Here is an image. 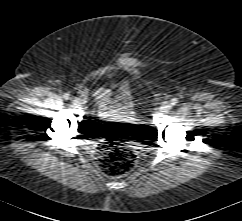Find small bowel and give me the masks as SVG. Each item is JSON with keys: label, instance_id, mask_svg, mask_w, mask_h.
I'll return each instance as SVG.
<instances>
[{"label": "small bowel", "instance_id": "small-bowel-1", "mask_svg": "<svg viewBox=\"0 0 242 221\" xmlns=\"http://www.w3.org/2000/svg\"><path fill=\"white\" fill-rule=\"evenodd\" d=\"M89 94L97 104V115L99 117H107L110 113L117 110L116 106H113L112 101L114 95L113 86L89 90Z\"/></svg>", "mask_w": 242, "mask_h": 221}]
</instances>
